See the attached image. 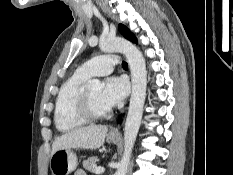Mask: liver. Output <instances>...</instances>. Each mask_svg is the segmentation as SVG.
<instances>
[{
    "instance_id": "liver-1",
    "label": "liver",
    "mask_w": 233,
    "mask_h": 175,
    "mask_svg": "<svg viewBox=\"0 0 233 175\" xmlns=\"http://www.w3.org/2000/svg\"><path fill=\"white\" fill-rule=\"evenodd\" d=\"M107 132L103 125L73 129L54 140L51 155L60 149H97L104 144Z\"/></svg>"
}]
</instances>
